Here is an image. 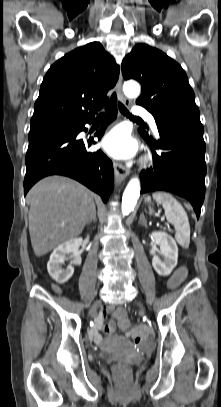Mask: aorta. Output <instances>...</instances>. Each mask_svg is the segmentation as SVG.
<instances>
[{"mask_svg": "<svg viewBox=\"0 0 221 407\" xmlns=\"http://www.w3.org/2000/svg\"><path fill=\"white\" fill-rule=\"evenodd\" d=\"M123 91L125 95L130 98H136L140 94V86L135 81H128L124 83ZM140 196V181L138 178H132L122 197V213L128 215L134 210L137 200Z\"/></svg>", "mask_w": 221, "mask_h": 407, "instance_id": "762f6f07", "label": "aorta"}]
</instances>
